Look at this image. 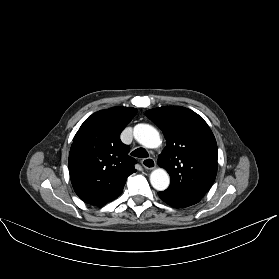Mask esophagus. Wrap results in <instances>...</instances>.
<instances>
[{"mask_svg": "<svg viewBox=\"0 0 279 279\" xmlns=\"http://www.w3.org/2000/svg\"><path fill=\"white\" fill-rule=\"evenodd\" d=\"M141 163L145 169L152 170L156 167V162L153 158H145Z\"/></svg>", "mask_w": 279, "mask_h": 279, "instance_id": "1", "label": "esophagus"}]
</instances>
